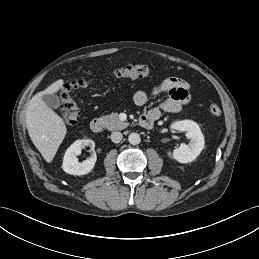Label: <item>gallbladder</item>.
I'll list each match as a JSON object with an SVG mask.
<instances>
[{"mask_svg": "<svg viewBox=\"0 0 259 259\" xmlns=\"http://www.w3.org/2000/svg\"><path fill=\"white\" fill-rule=\"evenodd\" d=\"M42 100L51 109H57L60 106V99L56 94H44Z\"/></svg>", "mask_w": 259, "mask_h": 259, "instance_id": "obj_1", "label": "gallbladder"}]
</instances>
